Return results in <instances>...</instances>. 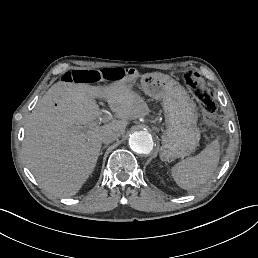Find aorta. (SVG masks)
I'll use <instances>...</instances> for the list:
<instances>
[{
  "mask_svg": "<svg viewBox=\"0 0 258 258\" xmlns=\"http://www.w3.org/2000/svg\"><path fill=\"white\" fill-rule=\"evenodd\" d=\"M130 148L138 154H149L154 146L152 136L147 131H136L130 135Z\"/></svg>",
  "mask_w": 258,
  "mask_h": 258,
  "instance_id": "762f6f07",
  "label": "aorta"
}]
</instances>
